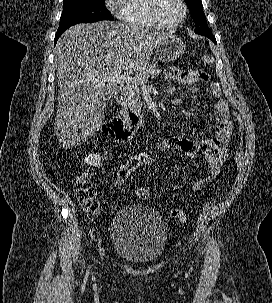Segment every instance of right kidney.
<instances>
[{
  "mask_svg": "<svg viewBox=\"0 0 272 303\" xmlns=\"http://www.w3.org/2000/svg\"><path fill=\"white\" fill-rule=\"evenodd\" d=\"M103 160V157H101L99 154H89L85 157L84 161L90 166H100L101 162Z\"/></svg>",
  "mask_w": 272,
  "mask_h": 303,
  "instance_id": "obj_1",
  "label": "right kidney"
}]
</instances>
